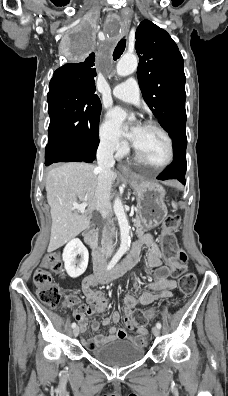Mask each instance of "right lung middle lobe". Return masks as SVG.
<instances>
[{"instance_id": "dd1d6c3e", "label": "right lung middle lobe", "mask_w": 228, "mask_h": 396, "mask_svg": "<svg viewBox=\"0 0 228 396\" xmlns=\"http://www.w3.org/2000/svg\"><path fill=\"white\" fill-rule=\"evenodd\" d=\"M92 48V38L80 32L73 50L75 57L87 56ZM49 89L48 142H61L86 162H92L99 144V97L65 82H50Z\"/></svg>"}]
</instances>
